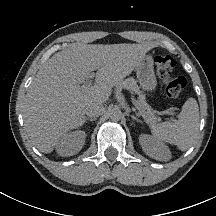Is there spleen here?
<instances>
[{"mask_svg":"<svg viewBox=\"0 0 216 216\" xmlns=\"http://www.w3.org/2000/svg\"><path fill=\"white\" fill-rule=\"evenodd\" d=\"M199 130V108L194 98H188L182 106L178 120L165 121L152 127L158 140L176 145L181 151L188 150L197 138Z\"/></svg>","mask_w":216,"mask_h":216,"instance_id":"3e777b00","label":"spleen"}]
</instances>
